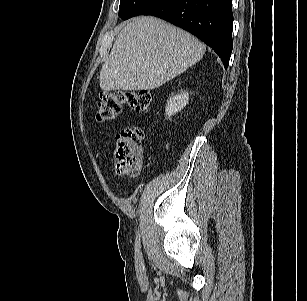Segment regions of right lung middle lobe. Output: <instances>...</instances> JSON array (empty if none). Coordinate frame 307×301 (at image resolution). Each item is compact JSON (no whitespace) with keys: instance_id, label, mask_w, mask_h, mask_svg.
<instances>
[{"instance_id":"right-lung-middle-lobe-1","label":"right lung middle lobe","mask_w":307,"mask_h":301,"mask_svg":"<svg viewBox=\"0 0 307 301\" xmlns=\"http://www.w3.org/2000/svg\"><path fill=\"white\" fill-rule=\"evenodd\" d=\"M160 0H120L119 17L122 20L140 15Z\"/></svg>"}]
</instances>
